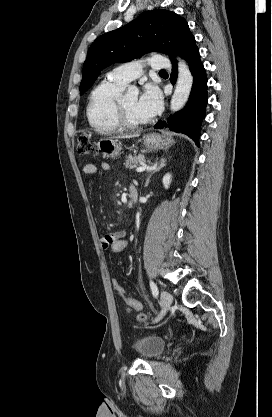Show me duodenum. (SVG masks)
<instances>
[{
	"instance_id": "410a0bca",
	"label": "duodenum",
	"mask_w": 272,
	"mask_h": 417,
	"mask_svg": "<svg viewBox=\"0 0 272 417\" xmlns=\"http://www.w3.org/2000/svg\"><path fill=\"white\" fill-rule=\"evenodd\" d=\"M138 198V189L135 185H131L130 186V190H129V205H133Z\"/></svg>"
}]
</instances>
